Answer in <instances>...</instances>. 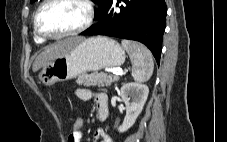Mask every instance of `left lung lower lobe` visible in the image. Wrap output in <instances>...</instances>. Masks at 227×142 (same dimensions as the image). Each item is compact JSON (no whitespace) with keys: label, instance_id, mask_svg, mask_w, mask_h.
<instances>
[{"label":"left lung lower lobe","instance_id":"1","mask_svg":"<svg viewBox=\"0 0 227 142\" xmlns=\"http://www.w3.org/2000/svg\"><path fill=\"white\" fill-rule=\"evenodd\" d=\"M166 14L165 0H109L98 16L97 24L81 35H106L139 41L151 50L159 64Z\"/></svg>","mask_w":227,"mask_h":142}]
</instances>
